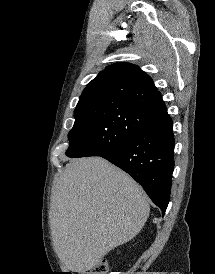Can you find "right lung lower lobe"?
I'll list each match as a JSON object with an SVG mask.
<instances>
[{
	"instance_id": "obj_1",
	"label": "right lung lower lobe",
	"mask_w": 215,
	"mask_h": 274,
	"mask_svg": "<svg viewBox=\"0 0 215 274\" xmlns=\"http://www.w3.org/2000/svg\"><path fill=\"white\" fill-rule=\"evenodd\" d=\"M173 150V124L166 111L127 142L101 157L130 174L164 215L171 191Z\"/></svg>"
}]
</instances>
